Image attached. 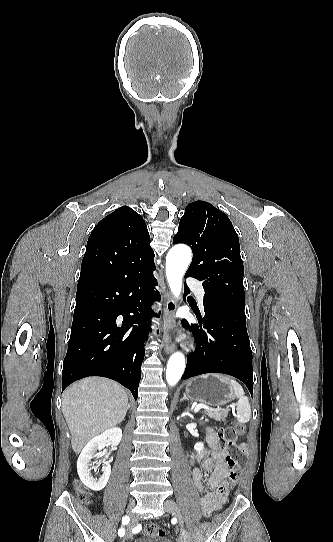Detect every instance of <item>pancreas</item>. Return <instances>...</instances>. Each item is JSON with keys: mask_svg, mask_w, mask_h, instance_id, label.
Segmentation results:
<instances>
[{"mask_svg": "<svg viewBox=\"0 0 333 542\" xmlns=\"http://www.w3.org/2000/svg\"><path fill=\"white\" fill-rule=\"evenodd\" d=\"M204 414L208 416V418H213V420H216V422H225L228 412L226 410H220V412H210V410H205Z\"/></svg>", "mask_w": 333, "mask_h": 542, "instance_id": "cf45deb5", "label": "pancreas"}]
</instances>
